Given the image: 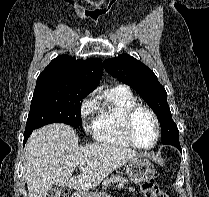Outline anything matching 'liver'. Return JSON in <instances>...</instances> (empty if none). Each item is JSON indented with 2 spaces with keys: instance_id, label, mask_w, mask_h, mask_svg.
I'll use <instances>...</instances> for the list:
<instances>
[{
  "instance_id": "liver-1",
  "label": "liver",
  "mask_w": 209,
  "mask_h": 197,
  "mask_svg": "<svg viewBox=\"0 0 209 197\" xmlns=\"http://www.w3.org/2000/svg\"><path fill=\"white\" fill-rule=\"evenodd\" d=\"M68 125L53 123L35 130L25 146L24 176L28 197H47L53 185L88 192L112 171L140 154L134 150L93 143L78 145ZM76 167L80 174L73 176Z\"/></svg>"
}]
</instances>
